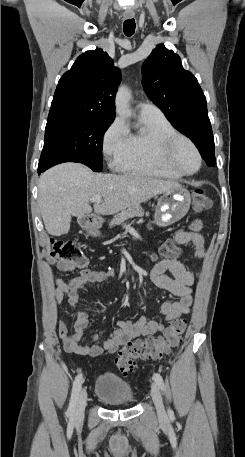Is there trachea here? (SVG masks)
<instances>
[{
	"label": "trachea",
	"instance_id": "obj_1",
	"mask_svg": "<svg viewBox=\"0 0 245 457\" xmlns=\"http://www.w3.org/2000/svg\"><path fill=\"white\" fill-rule=\"evenodd\" d=\"M136 24L134 18H130V20H125L123 25L124 34L127 37H131L135 32Z\"/></svg>",
	"mask_w": 245,
	"mask_h": 457
}]
</instances>
